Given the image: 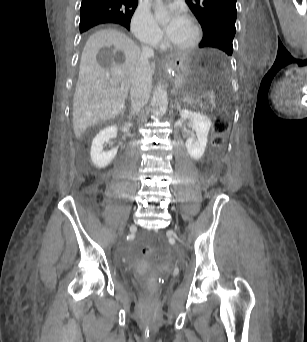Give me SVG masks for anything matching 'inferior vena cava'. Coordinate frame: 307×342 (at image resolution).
<instances>
[{"instance_id": "inferior-vena-cava-1", "label": "inferior vena cava", "mask_w": 307, "mask_h": 342, "mask_svg": "<svg viewBox=\"0 0 307 342\" xmlns=\"http://www.w3.org/2000/svg\"><path fill=\"white\" fill-rule=\"evenodd\" d=\"M150 56H154L152 48L142 46L138 68H136L130 88V98L134 112H140V108L149 102L153 76L149 62Z\"/></svg>"}]
</instances>
